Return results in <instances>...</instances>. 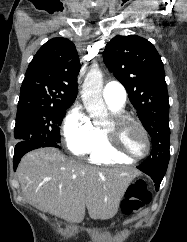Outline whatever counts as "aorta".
Masks as SVG:
<instances>
[{
	"label": "aorta",
	"mask_w": 187,
	"mask_h": 242,
	"mask_svg": "<svg viewBox=\"0 0 187 242\" xmlns=\"http://www.w3.org/2000/svg\"><path fill=\"white\" fill-rule=\"evenodd\" d=\"M103 75L99 68H92L82 85V101L94 122H100L107 116V108L102 99Z\"/></svg>",
	"instance_id": "762f6f07"
}]
</instances>
